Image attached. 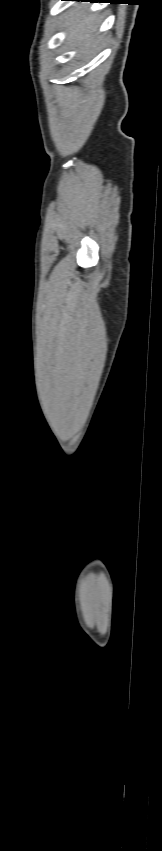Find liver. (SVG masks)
<instances>
[{
	"label": "liver",
	"mask_w": 162,
	"mask_h": 851,
	"mask_svg": "<svg viewBox=\"0 0 162 851\" xmlns=\"http://www.w3.org/2000/svg\"><path fill=\"white\" fill-rule=\"evenodd\" d=\"M87 8L85 5L75 4L62 18L63 26L67 30L66 40L73 48L78 49L77 55L81 58L90 57L101 42L100 36L97 35L101 22L99 16L88 13Z\"/></svg>",
	"instance_id": "6515ba94"
}]
</instances>
